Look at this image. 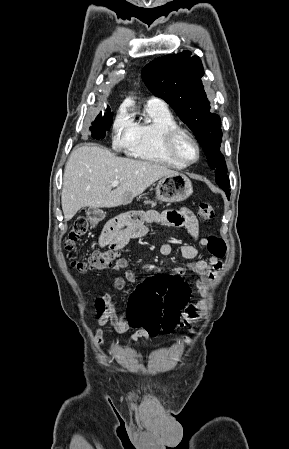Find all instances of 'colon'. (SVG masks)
I'll return each instance as SVG.
<instances>
[{
  "mask_svg": "<svg viewBox=\"0 0 289 449\" xmlns=\"http://www.w3.org/2000/svg\"><path fill=\"white\" fill-rule=\"evenodd\" d=\"M199 214L203 221L214 218V210L208 203L199 205ZM88 220L86 217L77 218L69 231L66 249L72 252L76 242L86 233ZM207 249L217 258H223L226 244L223 239L215 235L208 238ZM118 258V252L109 248L94 251L87 261L71 258V265L77 271L86 273L90 270H104L113 265ZM190 292L186 282L171 274H157L150 280L141 279L126 302L128 319L131 327L144 329L151 337L160 332L171 333L182 322L183 311L187 307ZM98 308L102 309V300ZM189 341V337L185 338Z\"/></svg>",
  "mask_w": 289,
  "mask_h": 449,
  "instance_id": "1",
  "label": "colon"
}]
</instances>
